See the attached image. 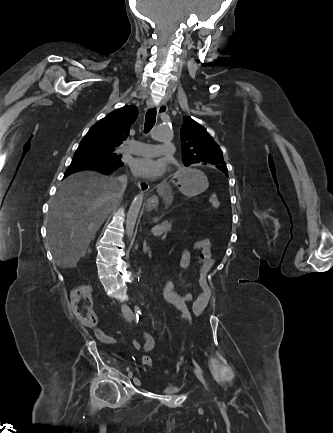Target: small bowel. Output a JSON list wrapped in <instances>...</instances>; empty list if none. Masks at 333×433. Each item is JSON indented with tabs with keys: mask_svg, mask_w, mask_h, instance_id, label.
Here are the masks:
<instances>
[{
	"mask_svg": "<svg viewBox=\"0 0 333 433\" xmlns=\"http://www.w3.org/2000/svg\"><path fill=\"white\" fill-rule=\"evenodd\" d=\"M211 247L212 244L209 239H202L194 244V248L197 252L196 266L199 271V290L197 293L186 292L181 294L175 288L173 289V292H178L179 297H182L187 303L192 302V311L195 315H201L204 312L212 295V289L207 280V273L212 269L215 262ZM190 263L191 255L189 251L182 250L179 259L180 268L185 270L190 266ZM163 285H165V282ZM172 285L174 286L173 282ZM94 334L96 338L104 344H116V340L113 337L107 335L97 326L94 327ZM132 347L136 351L142 349L145 353H150L155 347V339L149 333H142L133 340Z\"/></svg>",
	"mask_w": 333,
	"mask_h": 433,
	"instance_id": "1",
	"label": "small bowel"
}]
</instances>
